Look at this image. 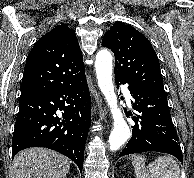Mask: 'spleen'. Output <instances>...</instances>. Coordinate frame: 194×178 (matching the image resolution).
Segmentation results:
<instances>
[{"instance_id": "1", "label": "spleen", "mask_w": 194, "mask_h": 178, "mask_svg": "<svg viewBox=\"0 0 194 178\" xmlns=\"http://www.w3.org/2000/svg\"><path fill=\"white\" fill-rule=\"evenodd\" d=\"M144 159L143 155H135L132 159L136 178H180V169L173 157L158 156L147 168Z\"/></svg>"}]
</instances>
